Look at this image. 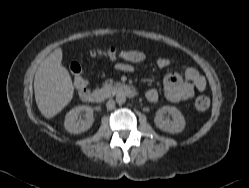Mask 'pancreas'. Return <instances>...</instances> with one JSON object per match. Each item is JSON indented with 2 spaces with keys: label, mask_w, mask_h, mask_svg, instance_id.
I'll return each mask as SVG.
<instances>
[{
  "label": "pancreas",
  "mask_w": 249,
  "mask_h": 188,
  "mask_svg": "<svg viewBox=\"0 0 249 188\" xmlns=\"http://www.w3.org/2000/svg\"><path fill=\"white\" fill-rule=\"evenodd\" d=\"M118 83H115L113 80L109 79V80H106L104 83H103V86H102V89L104 90H113L115 88V86H117Z\"/></svg>",
  "instance_id": "obj_1"
}]
</instances>
